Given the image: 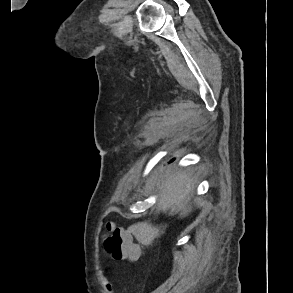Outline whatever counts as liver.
<instances>
[{
    "instance_id": "obj_1",
    "label": "liver",
    "mask_w": 293,
    "mask_h": 293,
    "mask_svg": "<svg viewBox=\"0 0 293 293\" xmlns=\"http://www.w3.org/2000/svg\"><path fill=\"white\" fill-rule=\"evenodd\" d=\"M195 188V181L185 172H175L166 175L159 185V199L157 213L166 212L169 209L181 211V216L191 212V206H187ZM166 227V226H165ZM165 227L154 226L149 222H141L130 227L135 238L143 244H152L155 238L164 233ZM163 228V229H161Z\"/></svg>"
}]
</instances>
